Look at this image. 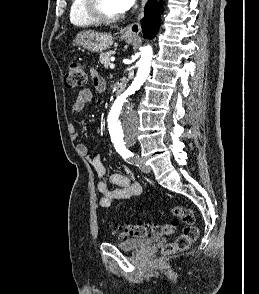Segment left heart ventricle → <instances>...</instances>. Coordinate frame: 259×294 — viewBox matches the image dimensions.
Listing matches in <instances>:
<instances>
[{
	"mask_svg": "<svg viewBox=\"0 0 259 294\" xmlns=\"http://www.w3.org/2000/svg\"><path fill=\"white\" fill-rule=\"evenodd\" d=\"M100 9L107 15L115 16L122 13L118 0H100Z\"/></svg>",
	"mask_w": 259,
	"mask_h": 294,
	"instance_id": "obj_1",
	"label": "left heart ventricle"
}]
</instances>
